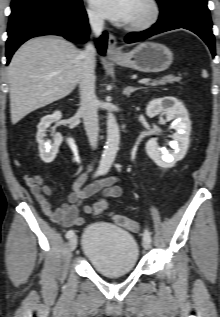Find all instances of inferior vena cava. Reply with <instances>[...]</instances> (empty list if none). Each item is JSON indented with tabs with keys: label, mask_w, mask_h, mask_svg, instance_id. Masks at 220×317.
I'll list each match as a JSON object with an SVG mask.
<instances>
[{
	"label": "inferior vena cava",
	"mask_w": 220,
	"mask_h": 317,
	"mask_svg": "<svg viewBox=\"0 0 220 317\" xmlns=\"http://www.w3.org/2000/svg\"><path fill=\"white\" fill-rule=\"evenodd\" d=\"M89 24L92 35L94 37L100 36L103 30V18L96 14H90ZM95 54V46L92 42H88L85 50L81 52L83 62L79 77L80 111L89 143L92 147L97 145L99 133L98 100L95 94Z\"/></svg>",
	"instance_id": "obj_1"
}]
</instances>
